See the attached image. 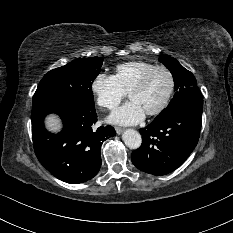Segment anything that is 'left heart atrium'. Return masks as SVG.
Wrapping results in <instances>:
<instances>
[{"instance_id": "1", "label": "left heart atrium", "mask_w": 233, "mask_h": 233, "mask_svg": "<svg viewBox=\"0 0 233 233\" xmlns=\"http://www.w3.org/2000/svg\"><path fill=\"white\" fill-rule=\"evenodd\" d=\"M145 114L140 105L131 100L115 109L110 114L109 121L120 125H134L142 121Z\"/></svg>"}]
</instances>
